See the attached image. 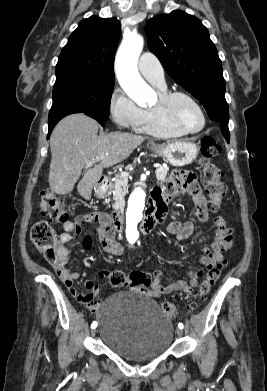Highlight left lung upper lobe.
<instances>
[{"label": "left lung upper lobe", "mask_w": 267, "mask_h": 391, "mask_svg": "<svg viewBox=\"0 0 267 391\" xmlns=\"http://www.w3.org/2000/svg\"><path fill=\"white\" fill-rule=\"evenodd\" d=\"M145 31L150 51L167 73L199 100L212 120L228 121L222 63L202 22L177 10L150 19Z\"/></svg>", "instance_id": "obj_1"}]
</instances>
